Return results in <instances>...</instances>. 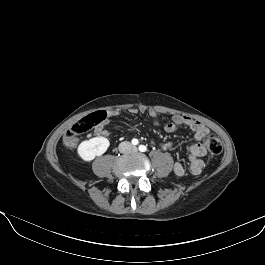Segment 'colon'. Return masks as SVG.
<instances>
[{
	"label": "colon",
	"instance_id": "colon-1",
	"mask_svg": "<svg viewBox=\"0 0 265 265\" xmlns=\"http://www.w3.org/2000/svg\"><path fill=\"white\" fill-rule=\"evenodd\" d=\"M105 117L104 111H95L84 116L67 131L63 140L64 144L67 147H75L79 136L99 125ZM204 144L212 155H219L222 152V141L215 134H208L204 138Z\"/></svg>",
	"mask_w": 265,
	"mask_h": 265
}]
</instances>
